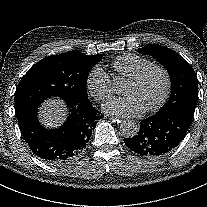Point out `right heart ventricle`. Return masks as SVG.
Instances as JSON below:
<instances>
[{
	"label": "right heart ventricle",
	"mask_w": 207,
	"mask_h": 207,
	"mask_svg": "<svg viewBox=\"0 0 207 207\" xmlns=\"http://www.w3.org/2000/svg\"><path fill=\"white\" fill-rule=\"evenodd\" d=\"M152 62L134 54H125L114 61V69L119 77L129 79Z\"/></svg>",
	"instance_id": "obj_1"
}]
</instances>
